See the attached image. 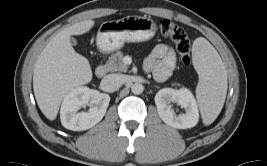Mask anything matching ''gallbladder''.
Listing matches in <instances>:
<instances>
[{
	"instance_id": "bac80fb5",
	"label": "gallbladder",
	"mask_w": 267,
	"mask_h": 166,
	"mask_svg": "<svg viewBox=\"0 0 267 166\" xmlns=\"http://www.w3.org/2000/svg\"><path fill=\"white\" fill-rule=\"evenodd\" d=\"M70 43H71L73 46H75V45H77V40H76L74 37H71V38H70Z\"/></svg>"
}]
</instances>
